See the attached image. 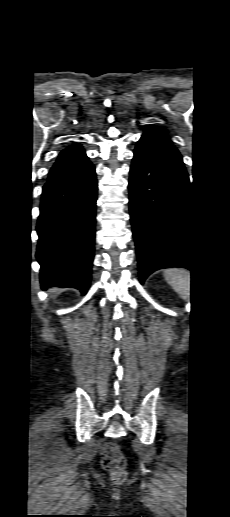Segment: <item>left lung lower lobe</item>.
Here are the masks:
<instances>
[{
	"label": "left lung lower lobe",
	"instance_id": "0a47b994",
	"mask_svg": "<svg viewBox=\"0 0 230 517\" xmlns=\"http://www.w3.org/2000/svg\"><path fill=\"white\" fill-rule=\"evenodd\" d=\"M189 177L178 150L141 138L130 168L129 206L140 282L168 267L193 270Z\"/></svg>",
	"mask_w": 230,
	"mask_h": 517
}]
</instances>
